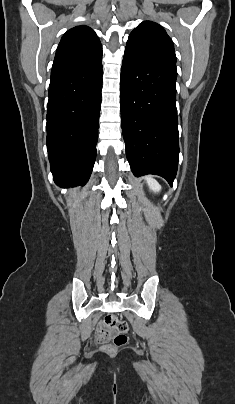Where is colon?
<instances>
[{
  "instance_id": "obj_1",
  "label": "colon",
  "mask_w": 235,
  "mask_h": 404,
  "mask_svg": "<svg viewBox=\"0 0 235 404\" xmlns=\"http://www.w3.org/2000/svg\"><path fill=\"white\" fill-rule=\"evenodd\" d=\"M103 322L104 327L98 328L96 331V340L100 343H105L106 351H113L127 344L129 326L125 321L120 320L114 314H107ZM114 332H116V335L113 343L107 344Z\"/></svg>"
}]
</instances>
